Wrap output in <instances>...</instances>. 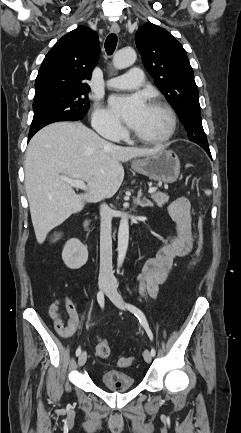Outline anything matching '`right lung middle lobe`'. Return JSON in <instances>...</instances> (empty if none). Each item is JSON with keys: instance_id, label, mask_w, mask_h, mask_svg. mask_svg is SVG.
<instances>
[{"instance_id": "dd1d6c3e", "label": "right lung middle lobe", "mask_w": 241, "mask_h": 433, "mask_svg": "<svg viewBox=\"0 0 241 433\" xmlns=\"http://www.w3.org/2000/svg\"><path fill=\"white\" fill-rule=\"evenodd\" d=\"M88 108L87 93H52L34 97V117L29 134L53 122L81 120Z\"/></svg>"}]
</instances>
